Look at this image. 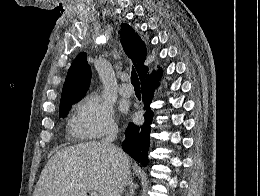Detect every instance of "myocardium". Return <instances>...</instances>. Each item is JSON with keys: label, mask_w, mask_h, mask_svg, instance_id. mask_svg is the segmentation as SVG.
I'll return each instance as SVG.
<instances>
[{"label": "myocardium", "mask_w": 260, "mask_h": 196, "mask_svg": "<svg viewBox=\"0 0 260 196\" xmlns=\"http://www.w3.org/2000/svg\"><path fill=\"white\" fill-rule=\"evenodd\" d=\"M50 192H55V190H50Z\"/></svg>", "instance_id": "f54148a6"}]
</instances>
